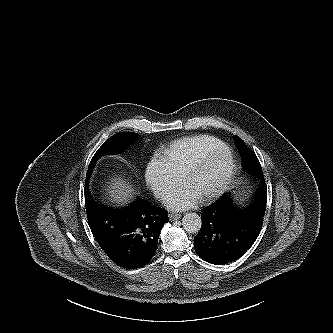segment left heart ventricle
Segmentation results:
<instances>
[{
    "instance_id": "left-heart-ventricle-1",
    "label": "left heart ventricle",
    "mask_w": 333,
    "mask_h": 333,
    "mask_svg": "<svg viewBox=\"0 0 333 333\" xmlns=\"http://www.w3.org/2000/svg\"><path fill=\"white\" fill-rule=\"evenodd\" d=\"M227 168V158L218 156L194 175L186 185L200 197L213 190L222 180Z\"/></svg>"
}]
</instances>
